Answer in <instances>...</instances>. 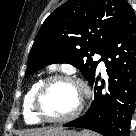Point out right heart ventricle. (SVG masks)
Instances as JSON below:
<instances>
[{
  "label": "right heart ventricle",
  "mask_w": 136,
  "mask_h": 136,
  "mask_svg": "<svg viewBox=\"0 0 136 136\" xmlns=\"http://www.w3.org/2000/svg\"><path fill=\"white\" fill-rule=\"evenodd\" d=\"M41 79L34 81L29 89L27 90L24 99H23V115L25 122L28 124H38L41 121L35 116L33 110H32V100L33 96L41 83Z\"/></svg>",
  "instance_id": "1"
}]
</instances>
